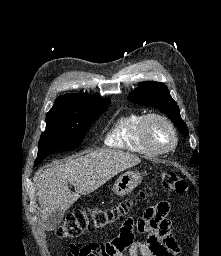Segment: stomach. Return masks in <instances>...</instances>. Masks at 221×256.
<instances>
[{
  "instance_id": "1",
  "label": "stomach",
  "mask_w": 221,
  "mask_h": 256,
  "mask_svg": "<svg viewBox=\"0 0 221 256\" xmlns=\"http://www.w3.org/2000/svg\"><path fill=\"white\" fill-rule=\"evenodd\" d=\"M142 178V175L138 172H126L116 180L113 190L118 196L127 195L141 183Z\"/></svg>"
}]
</instances>
